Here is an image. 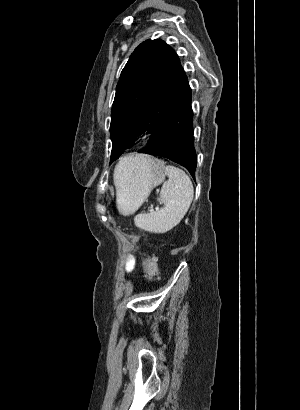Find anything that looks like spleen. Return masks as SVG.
Returning <instances> with one entry per match:
<instances>
[{
  "label": "spleen",
  "mask_w": 300,
  "mask_h": 410,
  "mask_svg": "<svg viewBox=\"0 0 300 410\" xmlns=\"http://www.w3.org/2000/svg\"><path fill=\"white\" fill-rule=\"evenodd\" d=\"M133 167L131 158H123L114 171V182L120 185V173ZM168 176L160 191L158 201L164 207L158 211L139 213L135 216V225L151 233H165L180 223L187 213L193 197L194 188L189 176L180 168L168 165L165 167Z\"/></svg>",
  "instance_id": "obj_1"
}]
</instances>
